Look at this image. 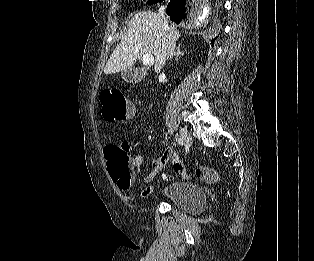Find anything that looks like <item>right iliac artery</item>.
<instances>
[{
  "instance_id": "obj_1",
  "label": "right iliac artery",
  "mask_w": 314,
  "mask_h": 261,
  "mask_svg": "<svg viewBox=\"0 0 314 261\" xmlns=\"http://www.w3.org/2000/svg\"><path fill=\"white\" fill-rule=\"evenodd\" d=\"M178 144L183 145V139L182 138L178 139Z\"/></svg>"
}]
</instances>
